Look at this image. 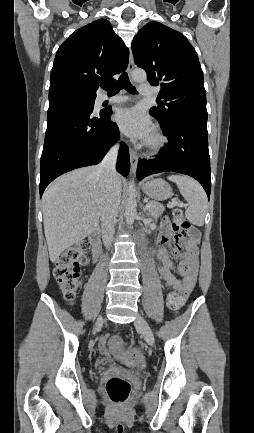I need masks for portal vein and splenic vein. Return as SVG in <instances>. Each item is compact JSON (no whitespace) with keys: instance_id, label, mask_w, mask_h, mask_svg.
<instances>
[{"instance_id":"portal-vein-and-splenic-vein-1","label":"portal vein and splenic vein","mask_w":254,"mask_h":433,"mask_svg":"<svg viewBox=\"0 0 254 433\" xmlns=\"http://www.w3.org/2000/svg\"><path fill=\"white\" fill-rule=\"evenodd\" d=\"M177 205H179V202L174 201V202H172L169 206H170V207H174V206H177ZM150 207H151V204L148 202V203L146 204V208L148 209V208H150Z\"/></svg>"}]
</instances>
